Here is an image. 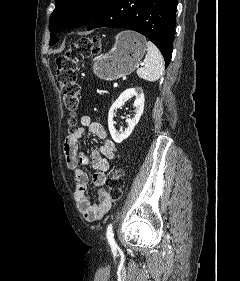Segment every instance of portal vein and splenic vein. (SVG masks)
<instances>
[{
  "mask_svg": "<svg viewBox=\"0 0 240 281\" xmlns=\"http://www.w3.org/2000/svg\"><path fill=\"white\" fill-rule=\"evenodd\" d=\"M118 86V83L117 82H114V85H113V87H117Z\"/></svg>",
  "mask_w": 240,
  "mask_h": 281,
  "instance_id": "obj_1",
  "label": "portal vein and splenic vein"
}]
</instances>
